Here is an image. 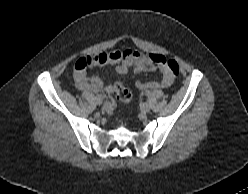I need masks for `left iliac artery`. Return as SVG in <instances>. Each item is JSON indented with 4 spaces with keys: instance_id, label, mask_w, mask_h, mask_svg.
I'll return each instance as SVG.
<instances>
[{
    "instance_id": "1",
    "label": "left iliac artery",
    "mask_w": 248,
    "mask_h": 194,
    "mask_svg": "<svg viewBox=\"0 0 248 194\" xmlns=\"http://www.w3.org/2000/svg\"><path fill=\"white\" fill-rule=\"evenodd\" d=\"M148 95H149V91L146 92V96H148Z\"/></svg>"
}]
</instances>
